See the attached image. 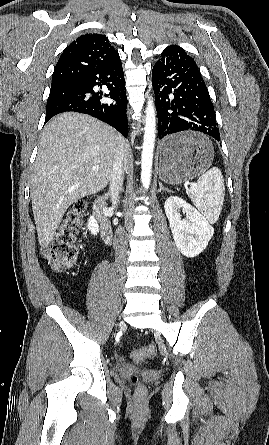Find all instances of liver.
Instances as JSON below:
<instances>
[{
  "label": "liver",
  "mask_w": 269,
  "mask_h": 445,
  "mask_svg": "<svg viewBox=\"0 0 269 445\" xmlns=\"http://www.w3.org/2000/svg\"><path fill=\"white\" fill-rule=\"evenodd\" d=\"M129 145L114 128L91 117L66 112L44 127L31 178V199L38 241L53 240L71 204L104 189L111 179L114 157ZM97 167V171H93Z\"/></svg>",
  "instance_id": "1"
}]
</instances>
